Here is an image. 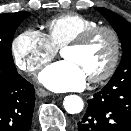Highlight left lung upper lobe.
I'll use <instances>...</instances> for the list:
<instances>
[{
	"label": "left lung upper lobe",
	"mask_w": 131,
	"mask_h": 131,
	"mask_svg": "<svg viewBox=\"0 0 131 131\" xmlns=\"http://www.w3.org/2000/svg\"><path fill=\"white\" fill-rule=\"evenodd\" d=\"M96 10L109 21L122 43L121 62L108 83L131 81V24L106 8L96 7Z\"/></svg>",
	"instance_id": "obj_1"
}]
</instances>
